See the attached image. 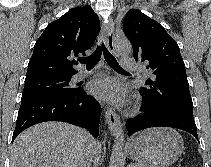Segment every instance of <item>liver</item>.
<instances>
[{
  "label": "liver",
  "instance_id": "liver-1",
  "mask_svg": "<svg viewBox=\"0 0 211 167\" xmlns=\"http://www.w3.org/2000/svg\"><path fill=\"white\" fill-rule=\"evenodd\" d=\"M94 146L93 138L79 127L44 122L15 139L10 167H83L85 154Z\"/></svg>",
  "mask_w": 211,
  "mask_h": 167
}]
</instances>
